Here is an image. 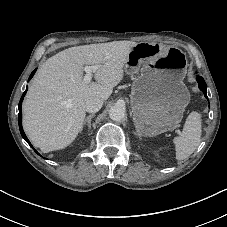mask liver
I'll return each mask as SVG.
<instances>
[{"label":"liver","mask_w":227,"mask_h":227,"mask_svg":"<svg viewBox=\"0 0 227 227\" xmlns=\"http://www.w3.org/2000/svg\"><path fill=\"white\" fill-rule=\"evenodd\" d=\"M133 41H113L65 49L47 59L23 103V128L42 152L63 149L82 131L91 98L107 100L124 76ZM84 65H97L96 82L84 83Z\"/></svg>","instance_id":"6515ba94"}]
</instances>
